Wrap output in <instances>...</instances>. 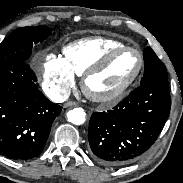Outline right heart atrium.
<instances>
[{
  "mask_svg": "<svg viewBox=\"0 0 183 183\" xmlns=\"http://www.w3.org/2000/svg\"><path fill=\"white\" fill-rule=\"evenodd\" d=\"M36 69L41 76L45 91L56 100L67 97L75 84L74 74L65 65L61 56L53 53L39 56Z\"/></svg>",
  "mask_w": 183,
  "mask_h": 183,
  "instance_id": "obj_1",
  "label": "right heart atrium"
}]
</instances>
